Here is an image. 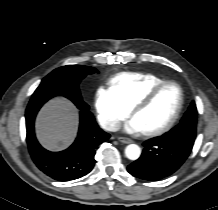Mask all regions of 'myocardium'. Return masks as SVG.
<instances>
[{"label":"myocardium","instance_id":"obj_1","mask_svg":"<svg viewBox=\"0 0 218 210\" xmlns=\"http://www.w3.org/2000/svg\"><path fill=\"white\" fill-rule=\"evenodd\" d=\"M167 85H175L179 91V103H178V107L173 115V117L170 119V121L164 125L163 127L156 129V130H152V131H146V132H141V134L145 137H157L160 135H163L165 133H167L168 131H170L175 124L177 123V121L179 120L182 110H183V106H184V91L182 86L174 81V80H165L157 85H155L154 87H152L133 107L131 110V116L134 117L135 114L144 109L145 107H147L153 100L154 98L157 96V94Z\"/></svg>","mask_w":218,"mask_h":210}]
</instances>
